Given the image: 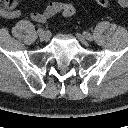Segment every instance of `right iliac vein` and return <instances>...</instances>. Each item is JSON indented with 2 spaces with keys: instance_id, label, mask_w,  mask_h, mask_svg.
<instances>
[{
  "instance_id": "right-iliac-vein-1",
  "label": "right iliac vein",
  "mask_w": 128,
  "mask_h": 128,
  "mask_svg": "<svg viewBox=\"0 0 128 128\" xmlns=\"http://www.w3.org/2000/svg\"><path fill=\"white\" fill-rule=\"evenodd\" d=\"M38 33V36L39 38L42 40V41H47L49 39V33L47 31H44L42 29H39L37 31Z\"/></svg>"
}]
</instances>
